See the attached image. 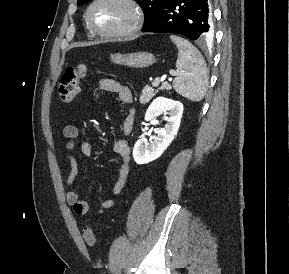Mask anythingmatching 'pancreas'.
I'll list each match as a JSON object with an SVG mask.
<instances>
[{"label":"pancreas","mask_w":289,"mask_h":274,"mask_svg":"<svg viewBox=\"0 0 289 274\" xmlns=\"http://www.w3.org/2000/svg\"><path fill=\"white\" fill-rule=\"evenodd\" d=\"M159 89L160 90H164V89L170 90L171 86L168 83H163ZM155 94H156V91H154V89L152 87L146 85L141 92L140 103L141 104L148 103L154 97Z\"/></svg>","instance_id":"1"}]
</instances>
